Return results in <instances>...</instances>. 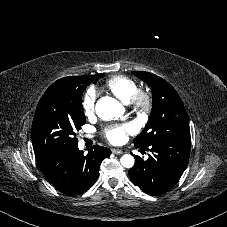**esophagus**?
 I'll return each mask as SVG.
<instances>
[{
	"label": "esophagus",
	"instance_id": "34e87169",
	"mask_svg": "<svg viewBox=\"0 0 227 227\" xmlns=\"http://www.w3.org/2000/svg\"><path fill=\"white\" fill-rule=\"evenodd\" d=\"M112 153H114V154H122L123 151L120 150V149H112Z\"/></svg>",
	"mask_w": 227,
	"mask_h": 227
}]
</instances>
